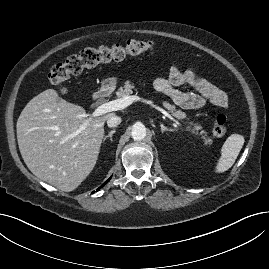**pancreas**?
<instances>
[{"instance_id": "obj_1", "label": "pancreas", "mask_w": 269, "mask_h": 269, "mask_svg": "<svg viewBox=\"0 0 269 269\" xmlns=\"http://www.w3.org/2000/svg\"><path fill=\"white\" fill-rule=\"evenodd\" d=\"M135 89V86L133 83H131L130 81H126L125 85L123 87H120L117 95L118 97H125V96H129L133 93V90ZM163 106L171 113L172 116H174L175 118L183 121L187 118V115L185 112L176 109V107L174 105L169 104L168 102H163ZM186 124H188V130H190L192 133H194L197 136H201V138L204 140V142L206 144L211 143V139L208 137L207 132L205 130H203L202 126L198 123H193V122H185Z\"/></svg>"}]
</instances>
